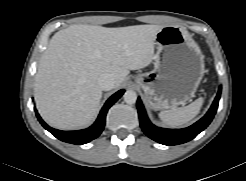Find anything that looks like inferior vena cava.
Masks as SVG:
<instances>
[{
    "label": "inferior vena cava",
    "mask_w": 246,
    "mask_h": 181,
    "mask_svg": "<svg viewBox=\"0 0 246 181\" xmlns=\"http://www.w3.org/2000/svg\"><path fill=\"white\" fill-rule=\"evenodd\" d=\"M98 85L101 88V90H104V91L111 90L115 86V79L112 74L103 73L98 78Z\"/></svg>",
    "instance_id": "602c4592"
}]
</instances>
